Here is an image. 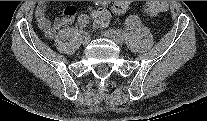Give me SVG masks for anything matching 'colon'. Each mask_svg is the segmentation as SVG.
<instances>
[{
  "label": "colon",
  "mask_w": 207,
  "mask_h": 121,
  "mask_svg": "<svg viewBox=\"0 0 207 121\" xmlns=\"http://www.w3.org/2000/svg\"><path fill=\"white\" fill-rule=\"evenodd\" d=\"M167 10V4L162 1H149L144 5V11L149 16H156ZM115 14V7L112 5H101L93 11L92 18L98 27H103L109 23Z\"/></svg>",
  "instance_id": "1"
}]
</instances>
